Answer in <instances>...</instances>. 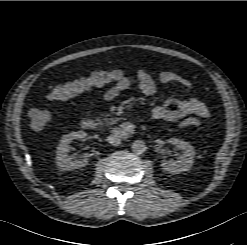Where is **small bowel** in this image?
<instances>
[{
    "label": "small bowel",
    "mask_w": 247,
    "mask_h": 245,
    "mask_svg": "<svg viewBox=\"0 0 247 245\" xmlns=\"http://www.w3.org/2000/svg\"><path fill=\"white\" fill-rule=\"evenodd\" d=\"M168 84H178L186 88H191L192 86L189 80L172 71L161 72L157 78H154L146 70H139L134 76L123 75L100 97L93 99L90 106L84 108V112L89 116L95 110L99 102H111L123 91L132 86L137 87L143 94L152 96L156 94L162 86ZM191 115L200 118H210L211 113L208 107L196 97L169 99L163 105L156 106L151 111L153 119L169 122L178 121Z\"/></svg>",
    "instance_id": "1"
}]
</instances>
